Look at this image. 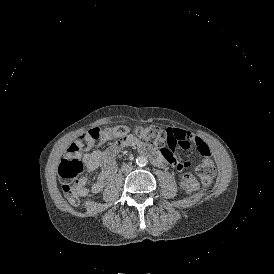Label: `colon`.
<instances>
[{"instance_id": "obj_1", "label": "colon", "mask_w": 274, "mask_h": 274, "mask_svg": "<svg viewBox=\"0 0 274 274\" xmlns=\"http://www.w3.org/2000/svg\"><path fill=\"white\" fill-rule=\"evenodd\" d=\"M99 130V129H98ZM127 128L118 126L115 128H107L103 134L111 142H122L125 139ZM138 137L151 144L165 145L169 140L166 127L151 126L140 127L136 130ZM100 134H80L77 139L72 142L58 165V172L62 180V190L64 196L69 203L76 205L81 196V176L83 173V164L79 158L81 149H99ZM178 172V171H177ZM200 180L195 178L193 174L183 175V185L186 190L192 192L197 189Z\"/></svg>"}]
</instances>
